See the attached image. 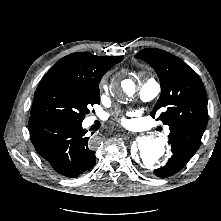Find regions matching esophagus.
<instances>
[{"instance_id":"obj_1","label":"esophagus","mask_w":221,"mask_h":221,"mask_svg":"<svg viewBox=\"0 0 221 221\" xmlns=\"http://www.w3.org/2000/svg\"><path fill=\"white\" fill-rule=\"evenodd\" d=\"M130 134H131L130 132H127V131L124 132V136H128Z\"/></svg>"}]
</instances>
